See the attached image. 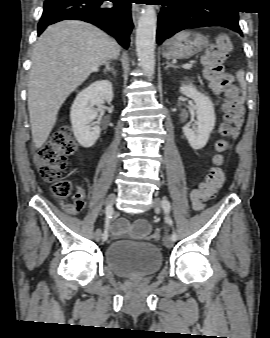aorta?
I'll use <instances>...</instances> for the list:
<instances>
[{
    "label": "aorta",
    "instance_id": "aorta-1",
    "mask_svg": "<svg viewBox=\"0 0 270 338\" xmlns=\"http://www.w3.org/2000/svg\"><path fill=\"white\" fill-rule=\"evenodd\" d=\"M157 17L153 5L143 10L136 30V51L138 61L148 77L155 71V41Z\"/></svg>",
    "mask_w": 270,
    "mask_h": 338
}]
</instances>
